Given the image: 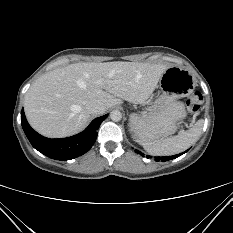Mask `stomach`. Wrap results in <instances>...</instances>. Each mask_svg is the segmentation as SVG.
<instances>
[{
    "label": "stomach",
    "instance_id": "obj_1",
    "mask_svg": "<svg viewBox=\"0 0 233 233\" xmlns=\"http://www.w3.org/2000/svg\"><path fill=\"white\" fill-rule=\"evenodd\" d=\"M194 87L195 80L188 70L168 67L159 81L160 97L146 111L131 114L132 129L148 142L172 135L187 116L184 104L177 100L192 93Z\"/></svg>",
    "mask_w": 233,
    "mask_h": 233
}]
</instances>
